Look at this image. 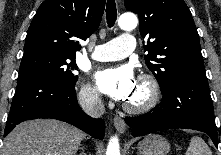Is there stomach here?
I'll return each instance as SVG.
<instances>
[{
	"instance_id": "stomach-1",
	"label": "stomach",
	"mask_w": 221,
	"mask_h": 155,
	"mask_svg": "<svg viewBox=\"0 0 221 155\" xmlns=\"http://www.w3.org/2000/svg\"><path fill=\"white\" fill-rule=\"evenodd\" d=\"M139 155H167L170 152V143L164 137L153 134L145 137L138 143Z\"/></svg>"
}]
</instances>
